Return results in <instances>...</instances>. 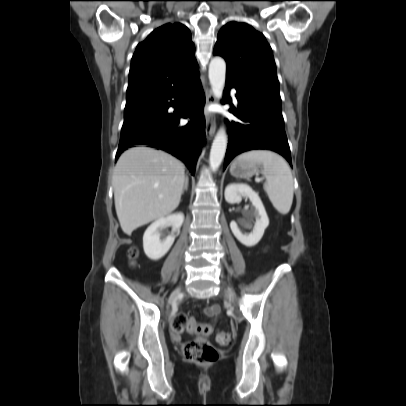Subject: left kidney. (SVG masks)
<instances>
[{
	"instance_id": "left-kidney-1",
	"label": "left kidney",
	"mask_w": 406,
	"mask_h": 406,
	"mask_svg": "<svg viewBox=\"0 0 406 406\" xmlns=\"http://www.w3.org/2000/svg\"><path fill=\"white\" fill-rule=\"evenodd\" d=\"M224 195L229 204H235L240 202L242 198H248L254 206V210L248 214L250 220L243 224L246 228H253L251 233L243 234L235 221L230 223V228L234 236L243 245L247 247L255 246L261 240L265 229L269 225V219L259 195L250 186L236 183L229 184L225 188ZM253 217L255 222L251 219Z\"/></svg>"
}]
</instances>
